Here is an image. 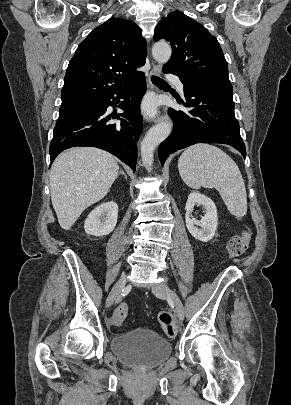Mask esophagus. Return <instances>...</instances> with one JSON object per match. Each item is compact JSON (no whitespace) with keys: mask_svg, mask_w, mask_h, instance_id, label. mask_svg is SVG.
<instances>
[{"mask_svg":"<svg viewBox=\"0 0 291 405\" xmlns=\"http://www.w3.org/2000/svg\"><path fill=\"white\" fill-rule=\"evenodd\" d=\"M151 74L154 76H159L161 74V66L154 64L153 68L151 70ZM164 121H169V117L165 114H161V115L157 116V118L155 119V122H157V123L164 122Z\"/></svg>","mask_w":291,"mask_h":405,"instance_id":"34e87169","label":"esophagus"}]
</instances>
